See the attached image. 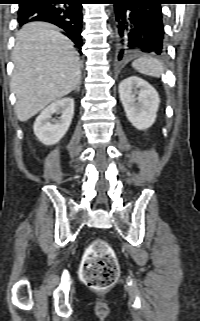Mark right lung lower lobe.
<instances>
[{"label": "right lung lower lobe", "mask_w": 200, "mask_h": 321, "mask_svg": "<svg viewBox=\"0 0 200 321\" xmlns=\"http://www.w3.org/2000/svg\"><path fill=\"white\" fill-rule=\"evenodd\" d=\"M83 0H21L18 10L20 26L33 21H45L65 31L81 53Z\"/></svg>", "instance_id": "1"}]
</instances>
